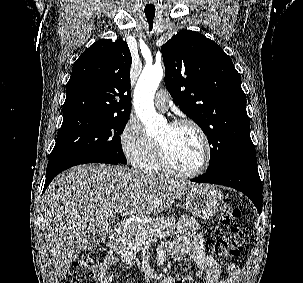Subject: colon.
Masks as SVG:
<instances>
[{
    "label": "colon",
    "mask_w": 303,
    "mask_h": 283,
    "mask_svg": "<svg viewBox=\"0 0 303 283\" xmlns=\"http://www.w3.org/2000/svg\"><path fill=\"white\" fill-rule=\"evenodd\" d=\"M240 214V208L235 203L231 201L223 203L220 221L230 226L229 232L207 242V247L225 261L239 256L245 246L244 230L237 223ZM99 259L100 255L97 251H89L83 255L69 266L64 283H95ZM183 282L184 279L181 278L180 283Z\"/></svg>",
    "instance_id": "5ec220e1"
}]
</instances>
